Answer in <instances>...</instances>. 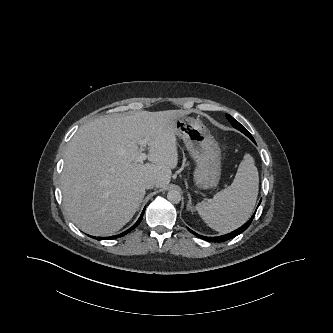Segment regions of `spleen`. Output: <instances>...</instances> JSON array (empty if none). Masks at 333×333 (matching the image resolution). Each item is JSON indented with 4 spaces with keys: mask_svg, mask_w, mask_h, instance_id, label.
Wrapping results in <instances>:
<instances>
[{
    "mask_svg": "<svg viewBox=\"0 0 333 333\" xmlns=\"http://www.w3.org/2000/svg\"><path fill=\"white\" fill-rule=\"evenodd\" d=\"M259 190V176L253 158L246 154L233 183L196 205L200 217L212 229L227 233L237 229L251 216Z\"/></svg>",
    "mask_w": 333,
    "mask_h": 333,
    "instance_id": "1",
    "label": "spleen"
}]
</instances>
